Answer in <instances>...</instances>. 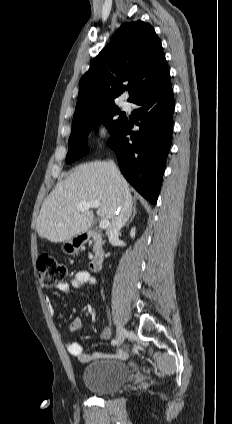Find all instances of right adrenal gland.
Listing matches in <instances>:
<instances>
[{"label":"right adrenal gland","mask_w":232,"mask_h":424,"mask_svg":"<svg viewBox=\"0 0 232 424\" xmlns=\"http://www.w3.org/2000/svg\"><path fill=\"white\" fill-rule=\"evenodd\" d=\"M133 204H134V206H133V213H132V215H131L130 219H128V221H127L126 225H129V223H131V222H132V220L134 219V216H135V214H136V201H135V199H134Z\"/></svg>","instance_id":"right-adrenal-gland-1"}]
</instances>
